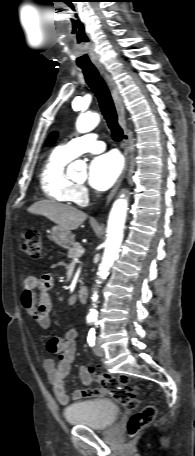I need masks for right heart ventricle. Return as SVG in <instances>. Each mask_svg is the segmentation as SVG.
I'll return each instance as SVG.
<instances>
[{"mask_svg":"<svg viewBox=\"0 0 195 456\" xmlns=\"http://www.w3.org/2000/svg\"><path fill=\"white\" fill-rule=\"evenodd\" d=\"M72 159L60 148H56L45 161L40 173V186L47 198L62 203L75 201V184L65 171Z\"/></svg>","mask_w":195,"mask_h":456,"instance_id":"1","label":"right heart ventricle"}]
</instances>
